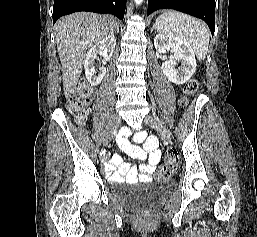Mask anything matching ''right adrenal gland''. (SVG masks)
<instances>
[{"label": "right adrenal gland", "mask_w": 257, "mask_h": 237, "mask_svg": "<svg viewBox=\"0 0 257 237\" xmlns=\"http://www.w3.org/2000/svg\"><path fill=\"white\" fill-rule=\"evenodd\" d=\"M117 33H119V28H117Z\"/></svg>", "instance_id": "right-adrenal-gland-1"}]
</instances>
